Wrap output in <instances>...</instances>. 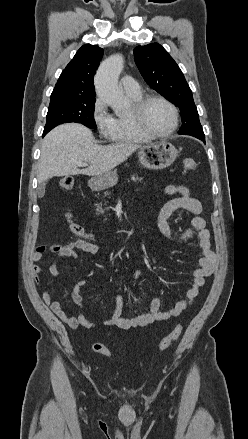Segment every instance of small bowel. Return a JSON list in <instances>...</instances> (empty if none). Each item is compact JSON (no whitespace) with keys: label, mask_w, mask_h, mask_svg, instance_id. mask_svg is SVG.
<instances>
[{"label":"small bowel","mask_w":248,"mask_h":439,"mask_svg":"<svg viewBox=\"0 0 248 439\" xmlns=\"http://www.w3.org/2000/svg\"><path fill=\"white\" fill-rule=\"evenodd\" d=\"M167 195H177L168 200L161 208L157 225L160 233L168 240L177 242H188L193 238L198 239L200 257L198 259V267L192 274V285L187 290L185 295L177 301L175 306L169 310L162 311L161 300L155 297L150 302L149 308L146 312L141 313L135 317H125L123 315V298L121 295L116 296L115 307L112 316L104 321L107 327H117L120 329H130L137 327H145L158 321L169 320L179 316L182 312L187 310L193 303L195 297L199 294L201 287L205 283V279L209 277L216 268V257L211 249L210 231L206 228V221L201 216L203 211L202 204L199 200L192 197L188 188L184 185H168L165 190ZM185 210L195 215L190 225L179 234H175L168 222L171 215L178 211ZM49 250L60 258H70L77 260L79 258V251L98 255L101 253V248L93 243L85 240H74L64 244H53L49 247H38L32 254V261L38 262L43 258L44 252ZM49 273L53 277L60 275V267L57 261L53 262L49 269ZM43 272V268L39 265H33L31 274L36 287L40 286L39 275ZM140 276V270H135L132 273L131 283L135 287L136 281ZM86 281L78 280L70 293L73 303L80 308H83L84 299L81 294V289L85 286ZM43 302L49 309L67 326L70 328H77L82 326L84 328H96V324L85 317L84 314L78 313L75 316L67 314L61 306V303L51 298L50 292L45 290L42 294Z\"/></svg>","instance_id":"c3829d8e"}]
</instances>
